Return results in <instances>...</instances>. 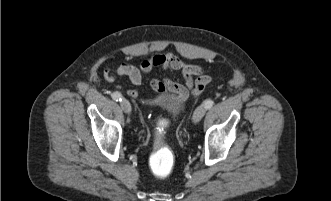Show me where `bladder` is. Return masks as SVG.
<instances>
[{
    "instance_id": "1",
    "label": "bladder",
    "mask_w": 331,
    "mask_h": 201,
    "mask_svg": "<svg viewBox=\"0 0 331 201\" xmlns=\"http://www.w3.org/2000/svg\"><path fill=\"white\" fill-rule=\"evenodd\" d=\"M186 102L171 92L149 99V107L165 113L171 123L176 122L186 111Z\"/></svg>"
}]
</instances>
